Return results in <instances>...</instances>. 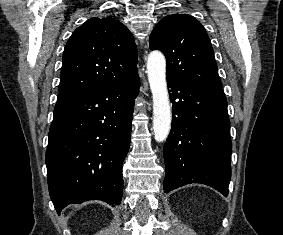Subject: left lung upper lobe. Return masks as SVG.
Wrapping results in <instances>:
<instances>
[{"mask_svg": "<svg viewBox=\"0 0 283 235\" xmlns=\"http://www.w3.org/2000/svg\"><path fill=\"white\" fill-rule=\"evenodd\" d=\"M149 43L151 50L164 53L167 77L222 91L210 39L195 18L187 14L165 16L152 31Z\"/></svg>", "mask_w": 283, "mask_h": 235, "instance_id": "1", "label": "left lung upper lobe"}]
</instances>
